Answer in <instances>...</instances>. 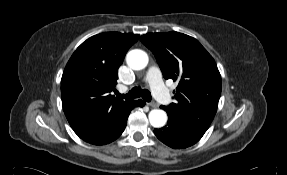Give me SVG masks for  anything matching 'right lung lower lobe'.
I'll list each match as a JSON object with an SVG mask.
<instances>
[{"label":"right lung lower lobe","mask_w":287,"mask_h":175,"mask_svg":"<svg viewBox=\"0 0 287 175\" xmlns=\"http://www.w3.org/2000/svg\"><path fill=\"white\" fill-rule=\"evenodd\" d=\"M145 102L142 100H134L118 117L117 121L109 128L104 130L97 136L86 140V142L93 145H105L116 140L124 131L128 116L134 107H143Z\"/></svg>","instance_id":"98d812e1"}]
</instances>
